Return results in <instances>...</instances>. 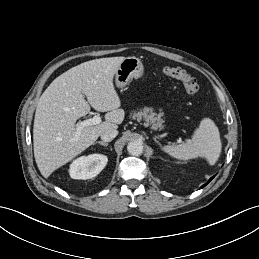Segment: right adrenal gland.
<instances>
[{
  "label": "right adrenal gland",
  "instance_id": "2a0ac1e0",
  "mask_svg": "<svg viewBox=\"0 0 259 259\" xmlns=\"http://www.w3.org/2000/svg\"><path fill=\"white\" fill-rule=\"evenodd\" d=\"M96 143H98V144H100V145H102V146H108V143H105V142H103V141H97V142H95L94 144H96Z\"/></svg>",
  "mask_w": 259,
  "mask_h": 259
}]
</instances>
